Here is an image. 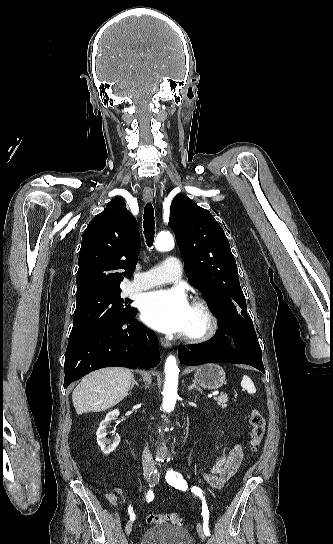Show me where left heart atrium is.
<instances>
[{
	"mask_svg": "<svg viewBox=\"0 0 333 544\" xmlns=\"http://www.w3.org/2000/svg\"><path fill=\"white\" fill-rule=\"evenodd\" d=\"M140 308L142 320L163 333L184 332L191 313L187 296L179 288L161 289L146 294Z\"/></svg>",
	"mask_w": 333,
	"mask_h": 544,
	"instance_id": "obj_1",
	"label": "left heart atrium"
}]
</instances>
